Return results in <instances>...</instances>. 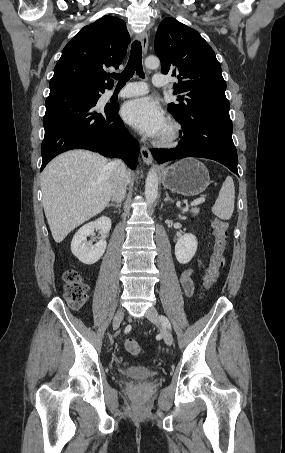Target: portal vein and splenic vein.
<instances>
[{"label":"portal vein and splenic vein","mask_w":285,"mask_h":453,"mask_svg":"<svg viewBox=\"0 0 285 453\" xmlns=\"http://www.w3.org/2000/svg\"><path fill=\"white\" fill-rule=\"evenodd\" d=\"M205 202V197H200L191 203V206H197Z\"/></svg>","instance_id":"portal-vein-and-splenic-vein-1"}]
</instances>
